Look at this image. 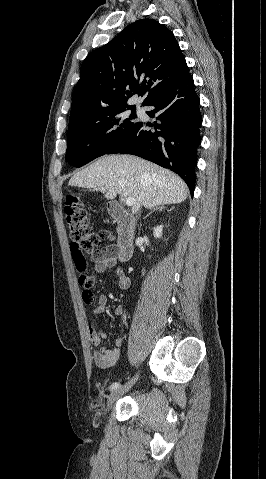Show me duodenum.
I'll list each match as a JSON object with an SVG mask.
<instances>
[{
    "label": "duodenum",
    "instance_id": "duodenum-1",
    "mask_svg": "<svg viewBox=\"0 0 266 479\" xmlns=\"http://www.w3.org/2000/svg\"><path fill=\"white\" fill-rule=\"evenodd\" d=\"M108 212L120 225V235L114 248V255L121 262H126L132 257L135 248V218L125 208L115 202L109 204Z\"/></svg>",
    "mask_w": 266,
    "mask_h": 479
}]
</instances>
